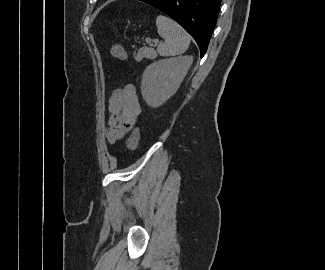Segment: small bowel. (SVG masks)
<instances>
[{"label":"small bowel","mask_w":325,"mask_h":270,"mask_svg":"<svg viewBox=\"0 0 325 270\" xmlns=\"http://www.w3.org/2000/svg\"><path fill=\"white\" fill-rule=\"evenodd\" d=\"M108 127L106 138L114 143L136 124L142 109L136 93L135 86L128 84L113 91L108 102Z\"/></svg>","instance_id":"1"}]
</instances>
